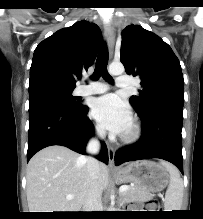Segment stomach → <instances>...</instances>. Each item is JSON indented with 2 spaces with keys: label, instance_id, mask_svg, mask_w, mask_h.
Returning a JSON list of instances; mask_svg holds the SVG:
<instances>
[{
  "label": "stomach",
  "instance_id": "1",
  "mask_svg": "<svg viewBox=\"0 0 203 219\" xmlns=\"http://www.w3.org/2000/svg\"><path fill=\"white\" fill-rule=\"evenodd\" d=\"M120 183L133 182L147 193L162 191L170 181L168 171L161 165L149 160L131 162L115 172Z\"/></svg>",
  "mask_w": 203,
  "mask_h": 219
}]
</instances>
